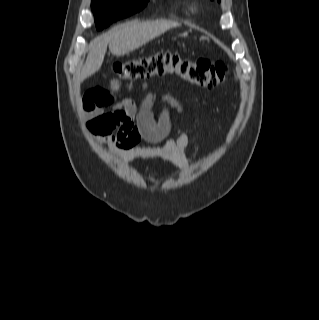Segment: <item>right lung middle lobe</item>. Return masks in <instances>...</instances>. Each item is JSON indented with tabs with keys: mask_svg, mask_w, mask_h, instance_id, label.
Segmentation results:
<instances>
[{
	"mask_svg": "<svg viewBox=\"0 0 319 320\" xmlns=\"http://www.w3.org/2000/svg\"><path fill=\"white\" fill-rule=\"evenodd\" d=\"M146 4V0H92L96 28L101 30L113 21L139 12Z\"/></svg>",
	"mask_w": 319,
	"mask_h": 320,
	"instance_id": "dd1d6c3e",
	"label": "right lung middle lobe"
}]
</instances>
